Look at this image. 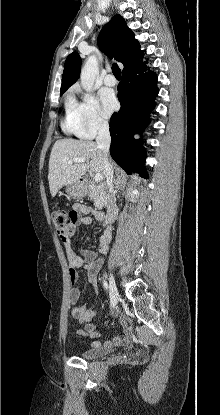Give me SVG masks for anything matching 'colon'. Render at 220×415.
<instances>
[{"mask_svg": "<svg viewBox=\"0 0 220 415\" xmlns=\"http://www.w3.org/2000/svg\"><path fill=\"white\" fill-rule=\"evenodd\" d=\"M71 212L65 210H56L52 214L53 223L58 234H63L71 221Z\"/></svg>", "mask_w": 220, "mask_h": 415, "instance_id": "obj_1", "label": "colon"}]
</instances>
